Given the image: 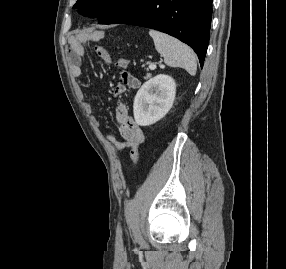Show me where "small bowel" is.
Returning <instances> with one entry per match:
<instances>
[{"label": "small bowel", "instance_id": "1", "mask_svg": "<svg viewBox=\"0 0 286 269\" xmlns=\"http://www.w3.org/2000/svg\"><path fill=\"white\" fill-rule=\"evenodd\" d=\"M101 48V52L95 49L98 56L108 64L113 63L111 54ZM69 56L71 60V74L74 78H80L83 73L84 66V50L82 42L78 39L71 40V48L69 50ZM118 66V63H117ZM123 88H117L116 92H121ZM88 109L91 110V105H88ZM116 121L119 127V131L123 138V142L120 143L121 147H128L130 149V159L136 168L140 161L139 146L144 141V133L140 126H138L130 115L129 106L125 103L118 104L116 108ZM92 124L99 126V121L96 117H91ZM110 140L116 142L113 136H110Z\"/></svg>", "mask_w": 286, "mask_h": 269}]
</instances>
